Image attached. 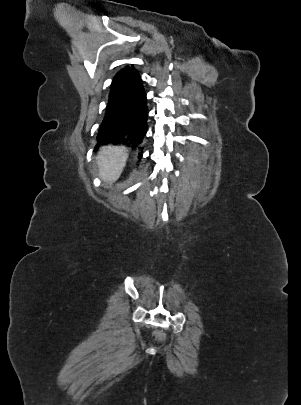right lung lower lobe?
<instances>
[{
    "label": "right lung lower lobe",
    "instance_id": "98d812e1",
    "mask_svg": "<svg viewBox=\"0 0 301 405\" xmlns=\"http://www.w3.org/2000/svg\"><path fill=\"white\" fill-rule=\"evenodd\" d=\"M146 93L137 71L122 69L114 78L109 101L98 129V144L126 145L140 148L147 132Z\"/></svg>",
    "mask_w": 301,
    "mask_h": 405
}]
</instances>
